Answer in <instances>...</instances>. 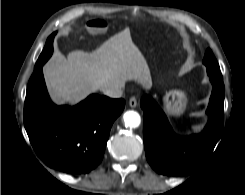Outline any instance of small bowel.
Returning <instances> with one entry per match:
<instances>
[{"label":"small bowel","instance_id":"1","mask_svg":"<svg viewBox=\"0 0 245 195\" xmlns=\"http://www.w3.org/2000/svg\"><path fill=\"white\" fill-rule=\"evenodd\" d=\"M89 26L94 31H102L107 27V23L102 19H94L89 22Z\"/></svg>","mask_w":245,"mask_h":195}]
</instances>
